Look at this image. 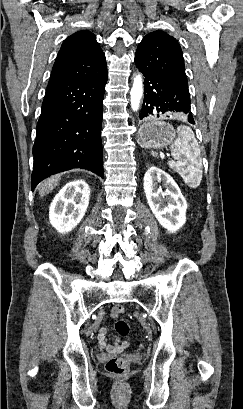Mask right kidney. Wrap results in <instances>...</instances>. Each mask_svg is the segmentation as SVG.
<instances>
[{
    "label": "right kidney",
    "instance_id": "1",
    "mask_svg": "<svg viewBox=\"0 0 243 409\" xmlns=\"http://www.w3.org/2000/svg\"><path fill=\"white\" fill-rule=\"evenodd\" d=\"M90 189L83 180L67 183L55 196L49 208L51 225L60 233L74 229L87 210Z\"/></svg>",
    "mask_w": 243,
    "mask_h": 409
}]
</instances>
